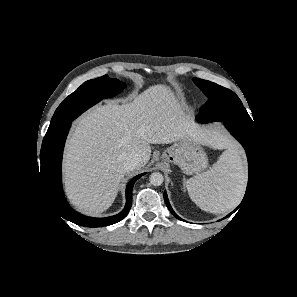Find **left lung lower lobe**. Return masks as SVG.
Segmentation results:
<instances>
[{"label":"left lung lower lobe","instance_id":"1","mask_svg":"<svg viewBox=\"0 0 297 297\" xmlns=\"http://www.w3.org/2000/svg\"><path fill=\"white\" fill-rule=\"evenodd\" d=\"M226 128L231 132V134L242 144L246 151L248 163H249V178H248V185L246 189L245 196L241 202V204L228 216L233 214L237 209L241 208L243 203L248 198L250 191L253 186L254 182V172H256L257 164H258V136L256 137V131L254 129L248 128L244 125L234 123L232 121L225 120L223 121ZM164 200L165 203L170 210V212L178 219H181L177 214L173 211L170 206L168 197L166 192L164 193ZM227 216V217H228ZM184 221V220H183Z\"/></svg>","mask_w":297,"mask_h":297}]
</instances>
